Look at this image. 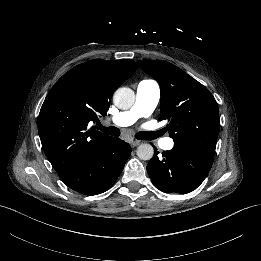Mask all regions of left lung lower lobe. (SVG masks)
<instances>
[{"label":"left lung lower lobe","mask_w":261,"mask_h":261,"mask_svg":"<svg viewBox=\"0 0 261 261\" xmlns=\"http://www.w3.org/2000/svg\"><path fill=\"white\" fill-rule=\"evenodd\" d=\"M159 152L147 165L153 184L167 193L185 194L196 189L207 176L214 159L215 149L198 143H174V147Z\"/></svg>","instance_id":"left-lung-lower-lobe-1"}]
</instances>
